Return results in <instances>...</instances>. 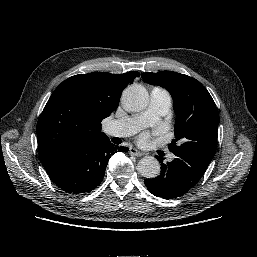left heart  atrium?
<instances>
[{
    "mask_svg": "<svg viewBox=\"0 0 257 257\" xmlns=\"http://www.w3.org/2000/svg\"><path fill=\"white\" fill-rule=\"evenodd\" d=\"M141 140H142V142L146 143V142L149 140V135H148V134H144V135L141 137Z\"/></svg>",
    "mask_w": 257,
    "mask_h": 257,
    "instance_id": "39dd6f15",
    "label": "left heart atrium"
}]
</instances>
